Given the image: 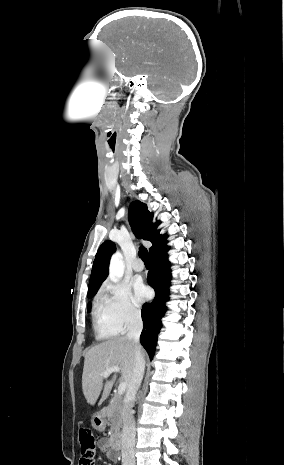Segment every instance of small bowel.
Returning a JSON list of instances; mask_svg holds the SVG:
<instances>
[{
	"instance_id": "small-bowel-1",
	"label": "small bowel",
	"mask_w": 284,
	"mask_h": 465,
	"mask_svg": "<svg viewBox=\"0 0 284 465\" xmlns=\"http://www.w3.org/2000/svg\"><path fill=\"white\" fill-rule=\"evenodd\" d=\"M97 445L101 452L110 460L115 461L118 459V451L114 447H112L111 442L108 438L99 439Z\"/></svg>"
}]
</instances>
